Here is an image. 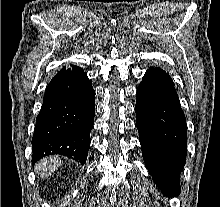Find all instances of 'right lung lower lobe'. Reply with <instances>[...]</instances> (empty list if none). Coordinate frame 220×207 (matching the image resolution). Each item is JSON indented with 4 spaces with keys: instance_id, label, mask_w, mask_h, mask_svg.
Returning a JSON list of instances; mask_svg holds the SVG:
<instances>
[{
    "instance_id": "1",
    "label": "right lung lower lobe",
    "mask_w": 220,
    "mask_h": 207,
    "mask_svg": "<svg viewBox=\"0 0 220 207\" xmlns=\"http://www.w3.org/2000/svg\"><path fill=\"white\" fill-rule=\"evenodd\" d=\"M95 91L84 70L63 67L48 84L32 138L35 163L60 154L84 164L94 123Z\"/></svg>"
}]
</instances>
